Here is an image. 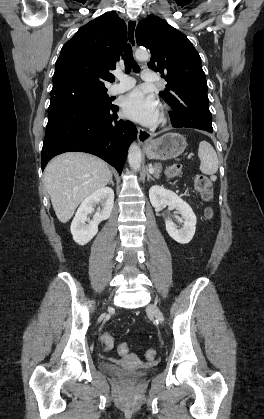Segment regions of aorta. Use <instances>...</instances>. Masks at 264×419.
Masks as SVG:
<instances>
[{"label":"aorta","instance_id":"762f6f07","mask_svg":"<svg viewBox=\"0 0 264 419\" xmlns=\"http://www.w3.org/2000/svg\"><path fill=\"white\" fill-rule=\"evenodd\" d=\"M136 59L145 61L149 58V53L146 50L138 49L135 53ZM128 162L132 170L138 171L141 166V150L140 147L133 143L128 152Z\"/></svg>","mask_w":264,"mask_h":419}]
</instances>
